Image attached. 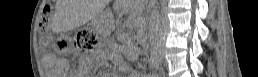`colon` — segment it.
Here are the masks:
<instances>
[{
  "label": "colon",
  "mask_w": 258,
  "mask_h": 77,
  "mask_svg": "<svg viewBox=\"0 0 258 77\" xmlns=\"http://www.w3.org/2000/svg\"><path fill=\"white\" fill-rule=\"evenodd\" d=\"M51 11L49 8H45L42 13L40 21V29L46 31L50 26ZM96 34L90 30H80L74 38L72 45L81 50H86L93 47L96 43ZM68 44H66L67 46Z\"/></svg>",
  "instance_id": "obj_1"
}]
</instances>
